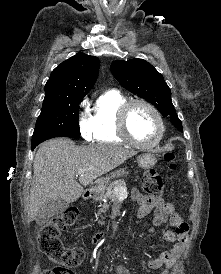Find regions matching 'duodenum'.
Masks as SVG:
<instances>
[{"mask_svg": "<svg viewBox=\"0 0 221 274\" xmlns=\"http://www.w3.org/2000/svg\"><path fill=\"white\" fill-rule=\"evenodd\" d=\"M98 193H99V191L97 188H89L84 192L83 197L85 200H90V199L94 198L95 196H97ZM101 236H102L101 234H97L94 237L93 242L97 243L101 239Z\"/></svg>", "mask_w": 221, "mask_h": 274, "instance_id": "obj_1", "label": "duodenum"}]
</instances>
